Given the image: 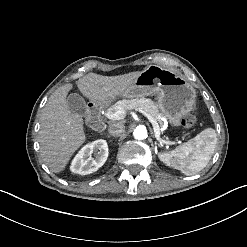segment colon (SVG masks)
<instances>
[{"instance_id": "5ec220e1", "label": "colon", "mask_w": 247, "mask_h": 247, "mask_svg": "<svg viewBox=\"0 0 247 247\" xmlns=\"http://www.w3.org/2000/svg\"><path fill=\"white\" fill-rule=\"evenodd\" d=\"M195 122L194 118H192L189 115H186L182 118V124L184 125H190L191 123Z\"/></svg>"}]
</instances>
